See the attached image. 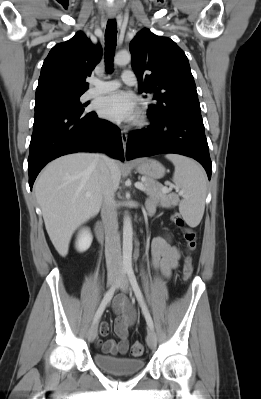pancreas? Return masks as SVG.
<instances>
[{
    "mask_svg": "<svg viewBox=\"0 0 261 399\" xmlns=\"http://www.w3.org/2000/svg\"><path fill=\"white\" fill-rule=\"evenodd\" d=\"M145 187V192L152 198H156L162 206L175 205L178 197L175 194H168V192L163 191V185L159 182L145 177L143 181Z\"/></svg>",
    "mask_w": 261,
    "mask_h": 399,
    "instance_id": "obj_1",
    "label": "pancreas"
}]
</instances>
